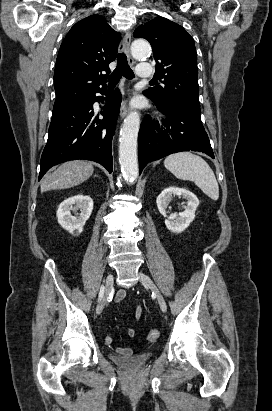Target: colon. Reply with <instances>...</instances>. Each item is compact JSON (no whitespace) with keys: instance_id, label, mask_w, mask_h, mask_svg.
Listing matches in <instances>:
<instances>
[{"instance_id":"obj_1","label":"colon","mask_w":272,"mask_h":411,"mask_svg":"<svg viewBox=\"0 0 272 411\" xmlns=\"http://www.w3.org/2000/svg\"><path fill=\"white\" fill-rule=\"evenodd\" d=\"M159 338V331L156 329H152L147 334V340L150 342L157 341Z\"/></svg>"}]
</instances>
